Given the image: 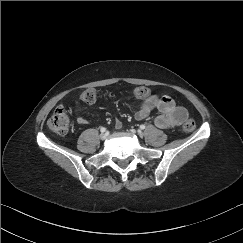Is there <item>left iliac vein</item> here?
<instances>
[{
  "label": "left iliac vein",
  "mask_w": 243,
  "mask_h": 243,
  "mask_svg": "<svg viewBox=\"0 0 243 243\" xmlns=\"http://www.w3.org/2000/svg\"><path fill=\"white\" fill-rule=\"evenodd\" d=\"M138 134H139V136H143V133L142 132H139Z\"/></svg>",
  "instance_id": "1"
}]
</instances>
